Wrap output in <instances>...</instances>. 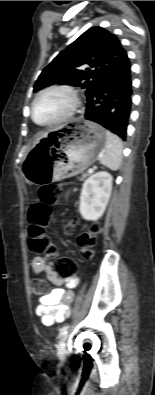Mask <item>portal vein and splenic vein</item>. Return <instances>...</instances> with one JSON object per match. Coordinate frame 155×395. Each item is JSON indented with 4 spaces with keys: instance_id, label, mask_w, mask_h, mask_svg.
I'll use <instances>...</instances> for the list:
<instances>
[{
    "instance_id": "1",
    "label": "portal vein and splenic vein",
    "mask_w": 155,
    "mask_h": 395,
    "mask_svg": "<svg viewBox=\"0 0 155 395\" xmlns=\"http://www.w3.org/2000/svg\"><path fill=\"white\" fill-rule=\"evenodd\" d=\"M94 172V170L92 169V168H90L89 170H88V173H93Z\"/></svg>"
}]
</instances>
